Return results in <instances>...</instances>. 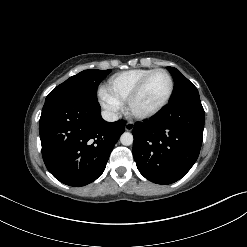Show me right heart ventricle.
<instances>
[{
    "instance_id": "1",
    "label": "right heart ventricle",
    "mask_w": 247,
    "mask_h": 247,
    "mask_svg": "<svg viewBox=\"0 0 247 247\" xmlns=\"http://www.w3.org/2000/svg\"><path fill=\"white\" fill-rule=\"evenodd\" d=\"M151 71L152 69H133L115 74L107 81L106 89L120 103H126L137 84Z\"/></svg>"
}]
</instances>
